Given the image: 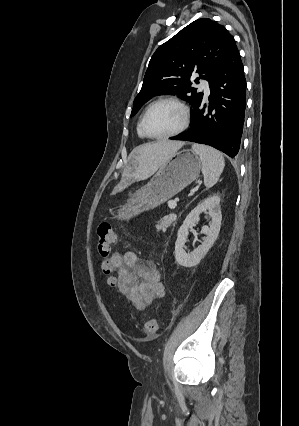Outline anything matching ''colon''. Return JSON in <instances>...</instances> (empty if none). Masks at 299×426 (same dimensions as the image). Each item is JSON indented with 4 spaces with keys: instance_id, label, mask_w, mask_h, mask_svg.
<instances>
[{
    "instance_id": "colon-1",
    "label": "colon",
    "mask_w": 299,
    "mask_h": 426,
    "mask_svg": "<svg viewBox=\"0 0 299 426\" xmlns=\"http://www.w3.org/2000/svg\"><path fill=\"white\" fill-rule=\"evenodd\" d=\"M116 233L109 223H101L97 229V250L101 257L107 258L112 251L114 244L116 243ZM103 271L109 276V284L117 287V279L111 277L112 269L106 261L103 264ZM158 331V321L156 319L148 320L144 325V332L149 338H154Z\"/></svg>"
}]
</instances>
